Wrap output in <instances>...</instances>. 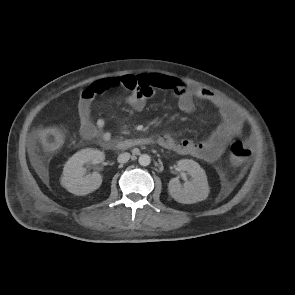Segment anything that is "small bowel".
<instances>
[{
	"label": "small bowel",
	"instance_id": "c3829d8e",
	"mask_svg": "<svg viewBox=\"0 0 295 295\" xmlns=\"http://www.w3.org/2000/svg\"><path fill=\"white\" fill-rule=\"evenodd\" d=\"M129 78L135 80L134 87L128 85ZM120 87L130 91L128 103L136 111L143 110L148 100L158 90H167L177 99L179 108L184 112H191L196 100L211 104L219 112L222 118L221 124L204 141L194 142L189 139L177 141L171 133L159 137L160 146L176 153L208 162L214 161L224 152L228 142L242 133L244 122L241 114L213 91L192 86L176 77L150 73L110 76L88 83L80 93L77 106L79 132L84 139L99 138L103 143L110 141L111 133L105 128V120L103 118L95 122L92 120L91 105L95 97Z\"/></svg>",
	"mask_w": 295,
	"mask_h": 295
}]
</instances>
